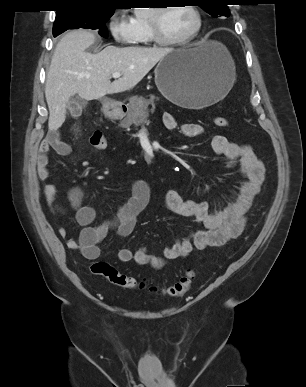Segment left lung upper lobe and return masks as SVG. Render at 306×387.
<instances>
[{"instance_id":"obj_1","label":"left lung upper lobe","mask_w":306,"mask_h":387,"mask_svg":"<svg viewBox=\"0 0 306 387\" xmlns=\"http://www.w3.org/2000/svg\"><path fill=\"white\" fill-rule=\"evenodd\" d=\"M195 3L203 8L212 17L226 16L230 11L227 7V0H194Z\"/></svg>"}]
</instances>
